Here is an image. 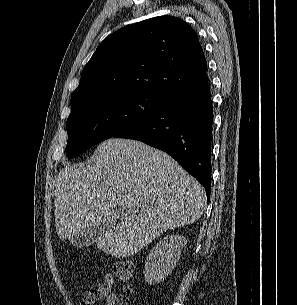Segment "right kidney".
Segmentation results:
<instances>
[{"mask_svg":"<svg viewBox=\"0 0 297 305\" xmlns=\"http://www.w3.org/2000/svg\"><path fill=\"white\" fill-rule=\"evenodd\" d=\"M186 242L184 236L171 235L157 243L146 258L145 281L149 284L162 282L174 269Z\"/></svg>","mask_w":297,"mask_h":305,"instance_id":"right-kidney-1","label":"right kidney"}]
</instances>
